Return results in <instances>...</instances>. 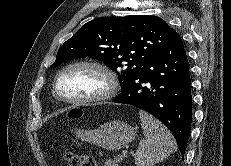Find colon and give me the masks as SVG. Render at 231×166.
I'll list each match as a JSON object with an SVG mask.
<instances>
[{
    "label": "colon",
    "instance_id": "obj_1",
    "mask_svg": "<svg viewBox=\"0 0 231 166\" xmlns=\"http://www.w3.org/2000/svg\"><path fill=\"white\" fill-rule=\"evenodd\" d=\"M69 115L71 117H79L81 112L79 110H72L69 112ZM65 160L68 166H95L94 160L85 155L66 153Z\"/></svg>",
    "mask_w": 231,
    "mask_h": 166
}]
</instances>
